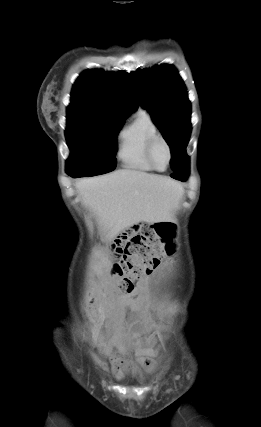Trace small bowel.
Segmentation results:
<instances>
[{
    "label": "small bowel",
    "instance_id": "small-bowel-1",
    "mask_svg": "<svg viewBox=\"0 0 261 427\" xmlns=\"http://www.w3.org/2000/svg\"><path fill=\"white\" fill-rule=\"evenodd\" d=\"M145 332L150 335V341L152 342L154 340L156 327L149 317H141L138 313H135L131 318V336L133 340L129 346L134 349L137 360L147 369H151L153 367L152 359L156 356L157 350L142 347L138 338ZM113 343L120 352H125L127 350L128 345L121 342L119 331L115 333Z\"/></svg>",
    "mask_w": 261,
    "mask_h": 427
}]
</instances>
